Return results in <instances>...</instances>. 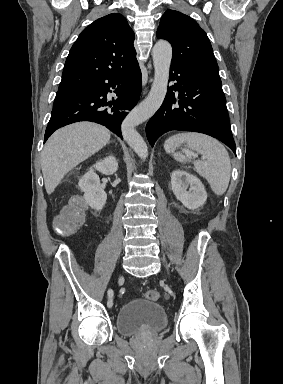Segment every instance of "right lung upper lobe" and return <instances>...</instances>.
Wrapping results in <instances>:
<instances>
[{"label":"right lung upper lobe","instance_id":"cb5924a9","mask_svg":"<svg viewBox=\"0 0 283 384\" xmlns=\"http://www.w3.org/2000/svg\"><path fill=\"white\" fill-rule=\"evenodd\" d=\"M134 38L126 18L119 13L94 21L73 44L58 91L82 90L132 70L138 65Z\"/></svg>","mask_w":283,"mask_h":384}]
</instances>
